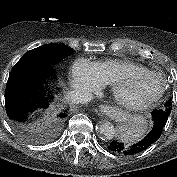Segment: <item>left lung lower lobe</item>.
<instances>
[{"label": "left lung lower lobe", "mask_w": 177, "mask_h": 177, "mask_svg": "<svg viewBox=\"0 0 177 177\" xmlns=\"http://www.w3.org/2000/svg\"><path fill=\"white\" fill-rule=\"evenodd\" d=\"M168 109L169 108L160 109L152 112L153 127L143 140L129 147L122 142L112 141L111 144L108 146V149L112 152L124 155H133L146 150L161 136L168 116L171 113V110L169 111Z\"/></svg>", "instance_id": "0a47b994"}]
</instances>
